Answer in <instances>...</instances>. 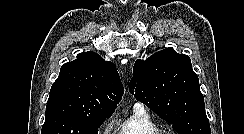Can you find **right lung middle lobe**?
<instances>
[{"mask_svg":"<svg viewBox=\"0 0 244 134\" xmlns=\"http://www.w3.org/2000/svg\"><path fill=\"white\" fill-rule=\"evenodd\" d=\"M109 115L86 116L60 107L46 108L41 134H98V128Z\"/></svg>","mask_w":244,"mask_h":134,"instance_id":"dd1d6c3e","label":"right lung middle lobe"}]
</instances>
